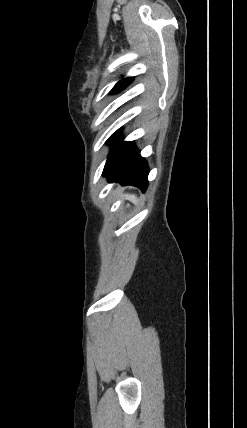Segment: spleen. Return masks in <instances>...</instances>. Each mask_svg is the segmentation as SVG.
<instances>
[{"label":"spleen","mask_w":247,"mask_h":428,"mask_svg":"<svg viewBox=\"0 0 247 428\" xmlns=\"http://www.w3.org/2000/svg\"><path fill=\"white\" fill-rule=\"evenodd\" d=\"M125 197L134 204L138 203V199L135 195H126Z\"/></svg>","instance_id":"spleen-1"}]
</instances>
